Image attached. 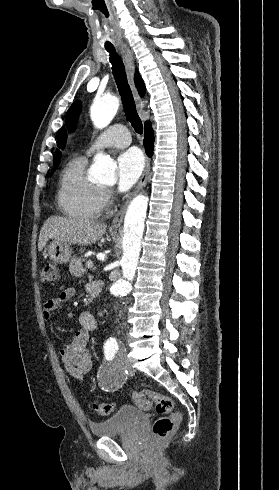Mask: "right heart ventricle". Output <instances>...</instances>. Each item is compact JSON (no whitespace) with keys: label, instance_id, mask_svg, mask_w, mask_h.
<instances>
[{"label":"right heart ventricle","instance_id":"1","mask_svg":"<svg viewBox=\"0 0 279 490\" xmlns=\"http://www.w3.org/2000/svg\"><path fill=\"white\" fill-rule=\"evenodd\" d=\"M86 159L75 157L64 167L58 193V201L64 215L70 219L89 221L101 213V188L90 183L84 176Z\"/></svg>","mask_w":279,"mask_h":490}]
</instances>
